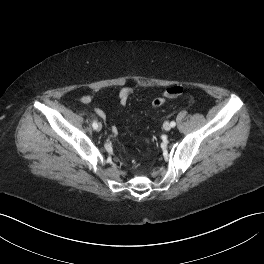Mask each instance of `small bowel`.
I'll return each instance as SVG.
<instances>
[{"mask_svg": "<svg viewBox=\"0 0 264 264\" xmlns=\"http://www.w3.org/2000/svg\"><path fill=\"white\" fill-rule=\"evenodd\" d=\"M183 92V88L179 85H173L170 87L165 88L162 91V95L165 98L173 99L181 95ZM133 94V89L131 88H122L117 95L119 105L123 106L127 103L130 96ZM93 101L92 95H84L81 97V102L85 105H89ZM95 114L105 120L106 119V112L101 107H95L94 109ZM112 131L117 132L118 128L116 126H112Z\"/></svg>", "mask_w": 264, "mask_h": 264, "instance_id": "small-bowel-1", "label": "small bowel"}]
</instances>
